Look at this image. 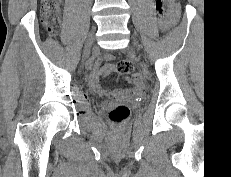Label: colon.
Returning <instances> with one entry per match:
<instances>
[{
  "label": "colon",
  "instance_id": "colon-1",
  "mask_svg": "<svg viewBox=\"0 0 231 177\" xmlns=\"http://www.w3.org/2000/svg\"><path fill=\"white\" fill-rule=\"evenodd\" d=\"M163 2L172 5L174 0H159L156 4V9L159 16L164 19L166 13L163 9ZM60 4L61 0H41L43 25L49 35L54 36L60 26ZM133 70V64L126 59H123L117 64V71L121 74H129ZM129 108L125 104H119L109 112V119L116 125L123 123L129 116Z\"/></svg>",
  "mask_w": 231,
  "mask_h": 177
}]
</instances>
